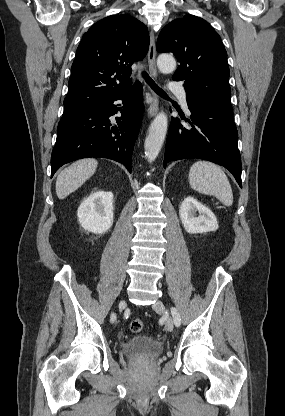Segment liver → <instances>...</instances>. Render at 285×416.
Instances as JSON below:
<instances>
[{
  "instance_id": "6515ba94",
  "label": "liver",
  "mask_w": 285,
  "mask_h": 416,
  "mask_svg": "<svg viewBox=\"0 0 285 416\" xmlns=\"http://www.w3.org/2000/svg\"><path fill=\"white\" fill-rule=\"evenodd\" d=\"M97 166V160L86 158V160H78L62 170L56 180V194L59 200H64L66 196L83 186L86 180H89L96 172Z\"/></svg>"
}]
</instances>
